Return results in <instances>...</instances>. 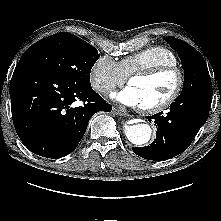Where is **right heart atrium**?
<instances>
[{
	"instance_id": "1",
	"label": "right heart atrium",
	"mask_w": 221,
	"mask_h": 221,
	"mask_svg": "<svg viewBox=\"0 0 221 221\" xmlns=\"http://www.w3.org/2000/svg\"><path fill=\"white\" fill-rule=\"evenodd\" d=\"M127 76L122 72L119 63L108 55L99 56L89 71L92 88L100 93H107L116 86L122 85Z\"/></svg>"
}]
</instances>
